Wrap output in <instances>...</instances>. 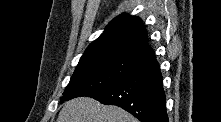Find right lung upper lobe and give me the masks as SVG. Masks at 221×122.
Returning <instances> with one entry per match:
<instances>
[{"label": "right lung upper lobe", "mask_w": 221, "mask_h": 122, "mask_svg": "<svg viewBox=\"0 0 221 122\" xmlns=\"http://www.w3.org/2000/svg\"><path fill=\"white\" fill-rule=\"evenodd\" d=\"M151 52L142 20L124 13L112 20L101 36L87 47L79 64L105 57L138 61Z\"/></svg>", "instance_id": "1"}]
</instances>
